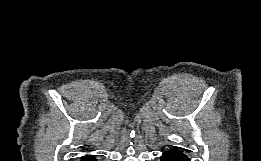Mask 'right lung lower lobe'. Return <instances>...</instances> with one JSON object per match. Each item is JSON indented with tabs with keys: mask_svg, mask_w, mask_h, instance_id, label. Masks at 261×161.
Here are the masks:
<instances>
[{
	"mask_svg": "<svg viewBox=\"0 0 261 161\" xmlns=\"http://www.w3.org/2000/svg\"><path fill=\"white\" fill-rule=\"evenodd\" d=\"M81 161H96L93 156L86 155L81 158Z\"/></svg>",
	"mask_w": 261,
	"mask_h": 161,
	"instance_id": "98d812e1",
	"label": "right lung lower lobe"
}]
</instances>
